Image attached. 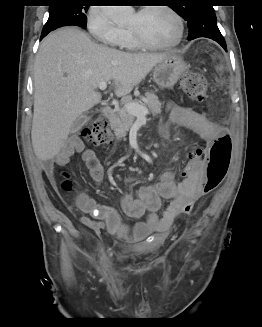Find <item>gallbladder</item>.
I'll return each mask as SVG.
<instances>
[{"label":"gallbladder","instance_id":"gallbladder-1","mask_svg":"<svg viewBox=\"0 0 262 327\" xmlns=\"http://www.w3.org/2000/svg\"><path fill=\"white\" fill-rule=\"evenodd\" d=\"M90 119V117L88 116V114H82L81 116H79L72 124L71 126V132L72 133H76L77 131H79Z\"/></svg>","mask_w":262,"mask_h":327}]
</instances>
